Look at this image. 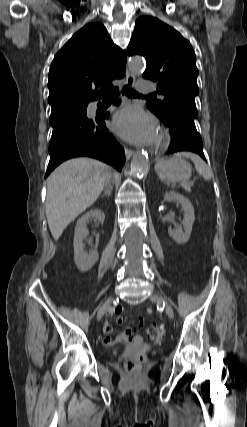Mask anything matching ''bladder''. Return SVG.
Wrapping results in <instances>:
<instances>
[{
	"label": "bladder",
	"instance_id": "31cf9c89",
	"mask_svg": "<svg viewBox=\"0 0 247 427\" xmlns=\"http://www.w3.org/2000/svg\"><path fill=\"white\" fill-rule=\"evenodd\" d=\"M118 349H119V348L114 347V348H112V349L110 350V352H111L112 354H114V353H116V352L118 351ZM140 349H141L142 351H144V352H151V351H153V347H152V346H149V345L142 346Z\"/></svg>",
	"mask_w": 247,
	"mask_h": 427
}]
</instances>
